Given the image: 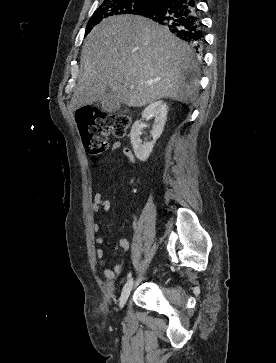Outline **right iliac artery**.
Wrapping results in <instances>:
<instances>
[{
    "mask_svg": "<svg viewBox=\"0 0 276 363\" xmlns=\"http://www.w3.org/2000/svg\"><path fill=\"white\" fill-rule=\"evenodd\" d=\"M131 278V272L127 275V280Z\"/></svg>",
    "mask_w": 276,
    "mask_h": 363,
    "instance_id": "1",
    "label": "right iliac artery"
}]
</instances>
